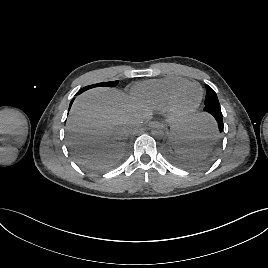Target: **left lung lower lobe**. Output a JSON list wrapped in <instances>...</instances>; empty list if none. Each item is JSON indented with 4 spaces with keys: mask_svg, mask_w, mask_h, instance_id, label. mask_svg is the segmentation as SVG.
Masks as SVG:
<instances>
[{
    "mask_svg": "<svg viewBox=\"0 0 268 268\" xmlns=\"http://www.w3.org/2000/svg\"><path fill=\"white\" fill-rule=\"evenodd\" d=\"M204 111L208 112L209 114H211L215 117L217 124H218V128H219L220 133H221L223 131V128H224L221 107L205 106ZM188 142H189V140H188Z\"/></svg>",
    "mask_w": 268,
    "mask_h": 268,
    "instance_id": "0a47b994",
    "label": "left lung lower lobe"
}]
</instances>
